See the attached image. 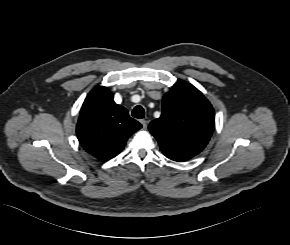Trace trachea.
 <instances>
[{
	"instance_id": "1",
	"label": "trachea",
	"mask_w": 290,
	"mask_h": 245,
	"mask_svg": "<svg viewBox=\"0 0 290 245\" xmlns=\"http://www.w3.org/2000/svg\"><path fill=\"white\" fill-rule=\"evenodd\" d=\"M145 112L142 106L137 105L132 111V116L138 119L144 118Z\"/></svg>"
}]
</instances>
